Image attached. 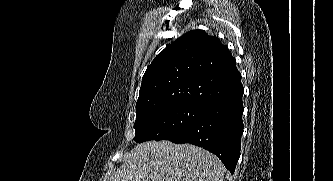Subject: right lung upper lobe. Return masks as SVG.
<instances>
[{
    "mask_svg": "<svg viewBox=\"0 0 333 181\" xmlns=\"http://www.w3.org/2000/svg\"><path fill=\"white\" fill-rule=\"evenodd\" d=\"M243 91L236 61L216 36L192 30L158 54L141 83L136 111L169 103L203 107Z\"/></svg>",
    "mask_w": 333,
    "mask_h": 181,
    "instance_id": "right-lung-upper-lobe-1",
    "label": "right lung upper lobe"
}]
</instances>
